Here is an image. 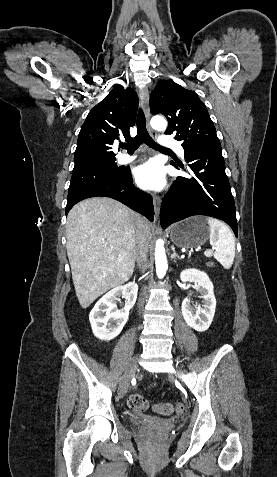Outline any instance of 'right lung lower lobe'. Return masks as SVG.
Instances as JSON below:
<instances>
[{
  "mask_svg": "<svg viewBox=\"0 0 277 477\" xmlns=\"http://www.w3.org/2000/svg\"><path fill=\"white\" fill-rule=\"evenodd\" d=\"M110 197L127 205L131 209L141 213L150 221L154 219L152 197L139 189L132 182V176L127 170L126 177L121 180L98 181L71 193L67 197L66 215L69 210L79 201L90 197Z\"/></svg>",
  "mask_w": 277,
  "mask_h": 477,
  "instance_id": "right-lung-lower-lobe-1",
  "label": "right lung lower lobe"
}]
</instances>
